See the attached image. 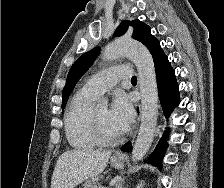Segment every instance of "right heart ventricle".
Instances as JSON below:
<instances>
[{
    "instance_id": "right-heart-ventricle-1",
    "label": "right heart ventricle",
    "mask_w": 224,
    "mask_h": 188,
    "mask_svg": "<svg viewBox=\"0 0 224 188\" xmlns=\"http://www.w3.org/2000/svg\"><path fill=\"white\" fill-rule=\"evenodd\" d=\"M96 98L82 88L74 95L65 113L66 138L75 149L88 150L98 144L92 135L89 124L92 105Z\"/></svg>"
}]
</instances>
